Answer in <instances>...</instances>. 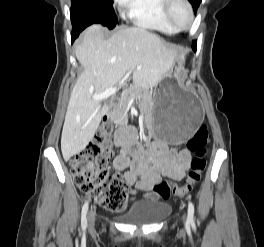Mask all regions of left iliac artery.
Wrapping results in <instances>:
<instances>
[{"label":"left iliac artery","instance_id":"44dca946","mask_svg":"<svg viewBox=\"0 0 264 247\" xmlns=\"http://www.w3.org/2000/svg\"><path fill=\"white\" fill-rule=\"evenodd\" d=\"M188 222L192 225L194 224V205L191 201L188 203Z\"/></svg>","mask_w":264,"mask_h":247}]
</instances>
